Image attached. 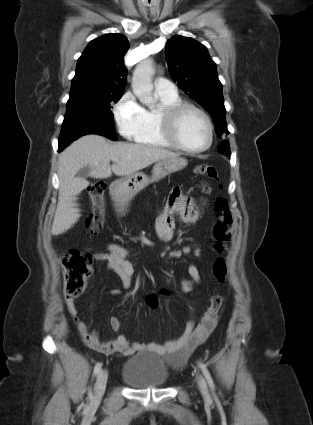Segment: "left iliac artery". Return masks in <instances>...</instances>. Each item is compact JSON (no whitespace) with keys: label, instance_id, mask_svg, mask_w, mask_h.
Masks as SVG:
<instances>
[{"label":"left iliac artery","instance_id":"obj_1","mask_svg":"<svg viewBox=\"0 0 313 425\" xmlns=\"http://www.w3.org/2000/svg\"><path fill=\"white\" fill-rule=\"evenodd\" d=\"M199 367L201 368V370H202V372H203V374H204V376H205V378H206V380H207V382L209 384V387L213 391L214 388H215V385H214L213 379H212V377H211V375H210V373H209L206 365L203 364L202 362H199Z\"/></svg>","mask_w":313,"mask_h":425}]
</instances>
